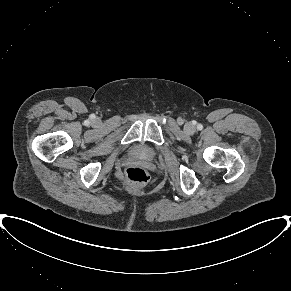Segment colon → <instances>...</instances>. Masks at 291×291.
I'll return each mask as SVG.
<instances>
[{
  "label": "colon",
  "mask_w": 291,
  "mask_h": 291,
  "mask_svg": "<svg viewBox=\"0 0 291 291\" xmlns=\"http://www.w3.org/2000/svg\"><path fill=\"white\" fill-rule=\"evenodd\" d=\"M128 185L132 188L144 185L149 180L147 170L140 166H128L124 171Z\"/></svg>",
  "instance_id": "colon-1"
}]
</instances>
